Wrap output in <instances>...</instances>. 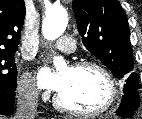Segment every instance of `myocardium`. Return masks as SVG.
I'll return each mask as SVG.
<instances>
[{"label":"myocardium","instance_id":"myocardium-1","mask_svg":"<svg viewBox=\"0 0 142 119\" xmlns=\"http://www.w3.org/2000/svg\"><path fill=\"white\" fill-rule=\"evenodd\" d=\"M70 68L73 70H85V69L97 70L104 77L107 83V88H108L107 98L100 107L93 110L82 111L64 105L61 102L59 95L57 94L53 99V103L57 109L76 116L95 117L104 114L113 107L118 95L117 84L113 75L105 66L94 61H79L74 63Z\"/></svg>","mask_w":142,"mask_h":119}]
</instances>
